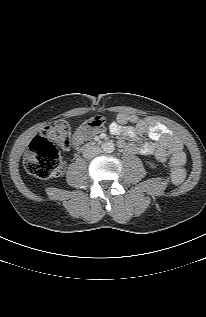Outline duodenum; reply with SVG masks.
Returning a JSON list of instances; mask_svg holds the SVG:
<instances>
[{
	"mask_svg": "<svg viewBox=\"0 0 206 317\" xmlns=\"http://www.w3.org/2000/svg\"><path fill=\"white\" fill-rule=\"evenodd\" d=\"M88 148H90V146H87L85 149H88Z\"/></svg>",
	"mask_w": 206,
	"mask_h": 317,
	"instance_id": "obj_1",
	"label": "duodenum"
}]
</instances>
